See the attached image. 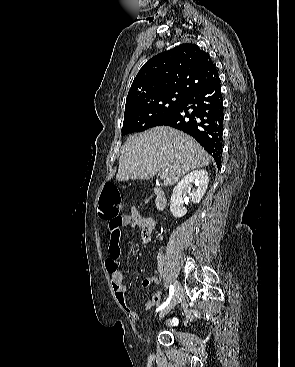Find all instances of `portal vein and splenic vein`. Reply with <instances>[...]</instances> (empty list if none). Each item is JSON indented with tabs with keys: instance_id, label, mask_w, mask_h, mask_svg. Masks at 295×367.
<instances>
[{
	"instance_id": "obj_1",
	"label": "portal vein and splenic vein",
	"mask_w": 295,
	"mask_h": 367,
	"mask_svg": "<svg viewBox=\"0 0 295 367\" xmlns=\"http://www.w3.org/2000/svg\"><path fill=\"white\" fill-rule=\"evenodd\" d=\"M167 172H168V170H164V171H162V172H161V174H160V177H161L162 179H164V178L166 177V175H167Z\"/></svg>"
}]
</instances>
